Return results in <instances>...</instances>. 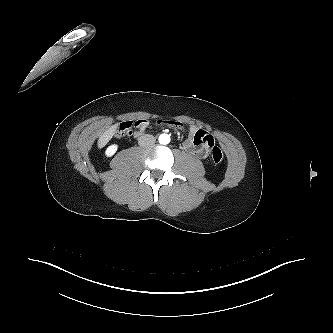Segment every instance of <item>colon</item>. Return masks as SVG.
<instances>
[{
    "instance_id": "5ec220e1",
    "label": "colon",
    "mask_w": 333,
    "mask_h": 333,
    "mask_svg": "<svg viewBox=\"0 0 333 333\" xmlns=\"http://www.w3.org/2000/svg\"><path fill=\"white\" fill-rule=\"evenodd\" d=\"M133 127H136V122H132V121H125L122 122L116 131V136L119 138H124V137H128L132 134V129ZM223 152L222 150L216 146V145H212L211 147V160L212 162L217 165L220 164L223 161Z\"/></svg>"
}]
</instances>
